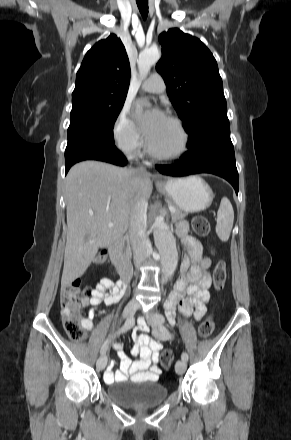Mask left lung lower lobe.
Instances as JSON below:
<instances>
[{"mask_svg": "<svg viewBox=\"0 0 291 440\" xmlns=\"http://www.w3.org/2000/svg\"><path fill=\"white\" fill-rule=\"evenodd\" d=\"M180 162L156 165V169L168 176L181 177L197 173H211L229 181L238 194L239 177L235 153L230 139V127H216L205 133L198 141L187 144Z\"/></svg>", "mask_w": 291, "mask_h": 440, "instance_id": "left-lung-lower-lobe-1", "label": "left lung lower lobe"}]
</instances>
